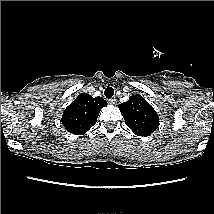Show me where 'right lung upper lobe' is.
Instances as JSON below:
<instances>
[{"mask_svg": "<svg viewBox=\"0 0 214 214\" xmlns=\"http://www.w3.org/2000/svg\"><path fill=\"white\" fill-rule=\"evenodd\" d=\"M106 105L102 97L82 93L64 110L61 122L68 132L84 134L96 123L100 110Z\"/></svg>", "mask_w": 214, "mask_h": 214, "instance_id": "obj_1", "label": "right lung upper lobe"}]
</instances>
